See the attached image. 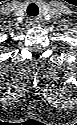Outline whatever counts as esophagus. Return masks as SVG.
Masks as SVG:
<instances>
[{"label":"esophagus","mask_w":77,"mask_h":125,"mask_svg":"<svg viewBox=\"0 0 77 125\" xmlns=\"http://www.w3.org/2000/svg\"><path fill=\"white\" fill-rule=\"evenodd\" d=\"M30 24L33 25V26H36V25H39V21L36 20V19H31Z\"/></svg>","instance_id":"obj_1"}]
</instances>
